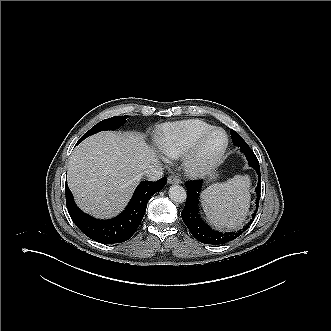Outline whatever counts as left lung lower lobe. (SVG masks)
I'll return each instance as SVG.
<instances>
[{
	"instance_id": "left-lung-lower-lobe-1",
	"label": "left lung lower lobe",
	"mask_w": 331,
	"mask_h": 331,
	"mask_svg": "<svg viewBox=\"0 0 331 331\" xmlns=\"http://www.w3.org/2000/svg\"><path fill=\"white\" fill-rule=\"evenodd\" d=\"M232 141L235 146H240L241 151L243 152L242 148H245V141L241 138L236 136H232ZM250 167L254 168L258 174V185L256 187L258 198L256 200V204L259 202L260 191H261V176H260V168L259 164H254L248 161ZM202 181L195 180V181H188L185 183L187 187V200L184 209L181 212L182 219L186 226L188 227L189 231L193 235L194 238L201 241L205 244H212V245H220L227 242H230L237 237H239L244 231L247 230L248 226L251 224L252 220L248 223V225L244 226L243 229H240L237 232H230V233H221L212 230L200 217L198 204H199V193L201 190ZM258 209V205H257ZM257 209L255 213L257 212ZM255 213L252 215L253 218L255 217Z\"/></svg>"
}]
</instances>
